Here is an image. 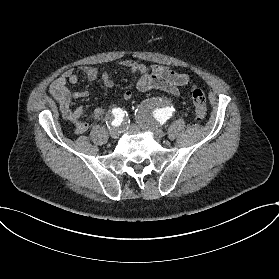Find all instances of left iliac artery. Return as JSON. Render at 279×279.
Returning a JSON list of instances; mask_svg holds the SVG:
<instances>
[{
    "label": "left iliac artery",
    "mask_w": 279,
    "mask_h": 279,
    "mask_svg": "<svg viewBox=\"0 0 279 279\" xmlns=\"http://www.w3.org/2000/svg\"><path fill=\"white\" fill-rule=\"evenodd\" d=\"M173 111H175L173 108L158 110L156 113V118L161 124H165L166 121L172 116Z\"/></svg>",
    "instance_id": "44dca946"
}]
</instances>
